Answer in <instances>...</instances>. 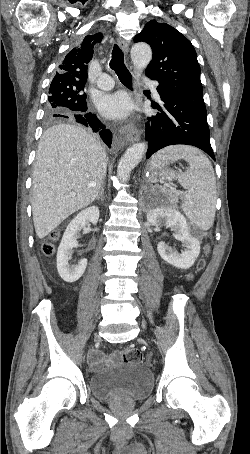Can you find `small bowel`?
Returning <instances> with one entry per match:
<instances>
[{"label":"small bowel","instance_id":"obj_1","mask_svg":"<svg viewBox=\"0 0 250 454\" xmlns=\"http://www.w3.org/2000/svg\"><path fill=\"white\" fill-rule=\"evenodd\" d=\"M88 360L93 369H100L106 364L105 357L99 350H92L89 353Z\"/></svg>","mask_w":250,"mask_h":454}]
</instances>
